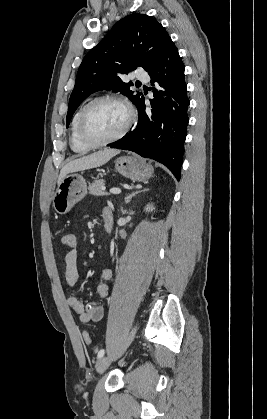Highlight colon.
Masks as SVG:
<instances>
[{
  "label": "colon",
  "instance_id": "colon-1",
  "mask_svg": "<svg viewBox=\"0 0 267 419\" xmlns=\"http://www.w3.org/2000/svg\"><path fill=\"white\" fill-rule=\"evenodd\" d=\"M62 243H63L66 247H68V248H72V247H74V246L76 245V238H75V236H74L73 234H71V233H66V234H65V235H63V237H62ZM83 340H84V342H85L86 344H89V343H90V341H91L90 334H89L87 331L83 332Z\"/></svg>",
  "mask_w": 267,
  "mask_h": 419
}]
</instances>
